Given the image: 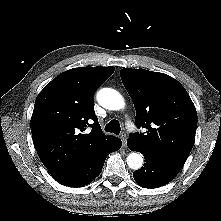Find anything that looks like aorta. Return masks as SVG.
Instances as JSON below:
<instances>
[{"label": "aorta", "instance_id": "obj_1", "mask_svg": "<svg viewBox=\"0 0 221 221\" xmlns=\"http://www.w3.org/2000/svg\"><path fill=\"white\" fill-rule=\"evenodd\" d=\"M98 103L109 110H120L125 106L122 95L112 88H102L97 93ZM127 165L129 168L138 170L143 165V156L140 153L132 152L127 156Z\"/></svg>", "mask_w": 221, "mask_h": 221}]
</instances>
